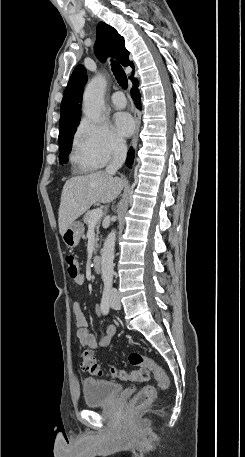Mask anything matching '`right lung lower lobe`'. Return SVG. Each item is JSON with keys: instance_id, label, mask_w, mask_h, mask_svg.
<instances>
[{"instance_id": "right-lung-lower-lobe-1", "label": "right lung lower lobe", "mask_w": 245, "mask_h": 457, "mask_svg": "<svg viewBox=\"0 0 245 457\" xmlns=\"http://www.w3.org/2000/svg\"><path fill=\"white\" fill-rule=\"evenodd\" d=\"M132 82H133V87L131 90V94L135 101L136 106L140 109L141 106H140V94L138 91V83L134 78L132 79ZM133 158H134V151L132 150V148H130V150L128 151L127 160H126L127 166H129V167L131 166V164L133 162Z\"/></svg>"}]
</instances>
